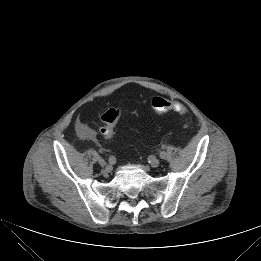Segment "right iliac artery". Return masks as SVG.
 <instances>
[{
    "label": "right iliac artery",
    "mask_w": 261,
    "mask_h": 261,
    "mask_svg": "<svg viewBox=\"0 0 261 261\" xmlns=\"http://www.w3.org/2000/svg\"><path fill=\"white\" fill-rule=\"evenodd\" d=\"M108 162H109L110 164H115V163H116V158H115V156H113V155L109 156Z\"/></svg>",
    "instance_id": "1"
}]
</instances>
